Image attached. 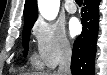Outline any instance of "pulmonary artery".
Wrapping results in <instances>:
<instances>
[{"label": "pulmonary artery", "instance_id": "e3ab8cb5", "mask_svg": "<svg viewBox=\"0 0 107 75\" xmlns=\"http://www.w3.org/2000/svg\"><path fill=\"white\" fill-rule=\"evenodd\" d=\"M65 8L69 13H75L77 11V7L73 0H66Z\"/></svg>", "mask_w": 107, "mask_h": 75}]
</instances>
